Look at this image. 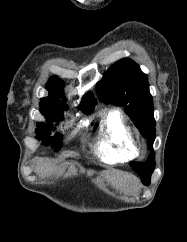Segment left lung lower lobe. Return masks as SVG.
<instances>
[{
  "mask_svg": "<svg viewBox=\"0 0 187 242\" xmlns=\"http://www.w3.org/2000/svg\"><path fill=\"white\" fill-rule=\"evenodd\" d=\"M142 182H143L145 185H149V183H150V178H147V179L143 178V179H142Z\"/></svg>",
  "mask_w": 187,
  "mask_h": 242,
  "instance_id": "0a47b994",
  "label": "left lung lower lobe"
}]
</instances>
